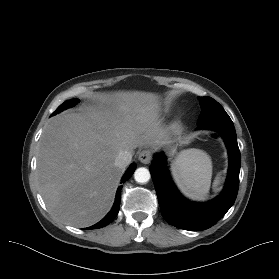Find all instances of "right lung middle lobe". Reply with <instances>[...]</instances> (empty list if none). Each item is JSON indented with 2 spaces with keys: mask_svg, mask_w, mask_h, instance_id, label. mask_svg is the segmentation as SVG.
<instances>
[{
  "mask_svg": "<svg viewBox=\"0 0 279 279\" xmlns=\"http://www.w3.org/2000/svg\"><path fill=\"white\" fill-rule=\"evenodd\" d=\"M79 102L78 99H71V100H68L66 102H64L62 105H60L57 110L52 114H57L61 111H63L65 108H69V107H72L73 105L77 104Z\"/></svg>",
  "mask_w": 279,
  "mask_h": 279,
  "instance_id": "right-lung-middle-lobe-1",
  "label": "right lung middle lobe"
}]
</instances>
